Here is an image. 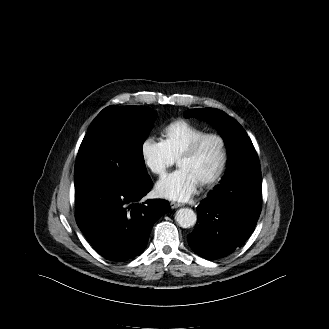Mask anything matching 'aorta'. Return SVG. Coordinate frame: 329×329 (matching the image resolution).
<instances>
[{
    "label": "aorta",
    "instance_id": "1",
    "mask_svg": "<svg viewBox=\"0 0 329 329\" xmlns=\"http://www.w3.org/2000/svg\"><path fill=\"white\" fill-rule=\"evenodd\" d=\"M175 219L182 228H190L195 225L197 216L192 209L181 208L176 212Z\"/></svg>",
    "mask_w": 329,
    "mask_h": 329
}]
</instances>
